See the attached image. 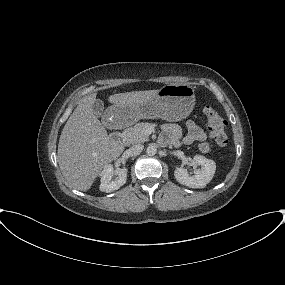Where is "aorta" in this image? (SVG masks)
<instances>
[{
	"mask_svg": "<svg viewBox=\"0 0 285 285\" xmlns=\"http://www.w3.org/2000/svg\"><path fill=\"white\" fill-rule=\"evenodd\" d=\"M146 153L149 156H154L157 153V149L154 145H149L146 149Z\"/></svg>",
	"mask_w": 285,
	"mask_h": 285,
	"instance_id": "1",
	"label": "aorta"
}]
</instances>
